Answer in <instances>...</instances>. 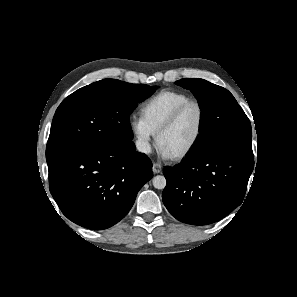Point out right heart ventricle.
<instances>
[{"mask_svg": "<svg viewBox=\"0 0 297 297\" xmlns=\"http://www.w3.org/2000/svg\"><path fill=\"white\" fill-rule=\"evenodd\" d=\"M190 99L188 95L179 91H161L142 104L141 116L156 134L170 114L180 104Z\"/></svg>", "mask_w": 297, "mask_h": 297, "instance_id": "right-heart-ventricle-1", "label": "right heart ventricle"}]
</instances>
